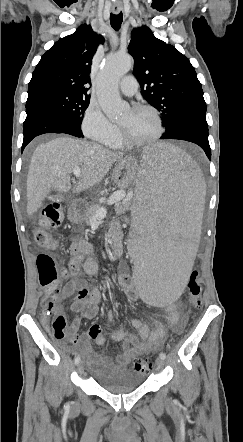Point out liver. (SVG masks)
Instances as JSON below:
<instances>
[{"label": "liver", "mask_w": 243, "mask_h": 442, "mask_svg": "<svg viewBox=\"0 0 243 442\" xmlns=\"http://www.w3.org/2000/svg\"><path fill=\"white\" fill-rule=\"evenodd\" d=\"M122 152L101 145L61 136L39 144L31 157L27 176V213L33 215L51 190L67 192L74 167L81 168L73 192L87 190L100 183L112 165L122 160Z\"/></svg>", "instance_id": "1"}]
</instances>
